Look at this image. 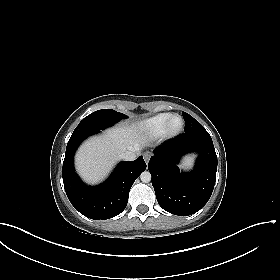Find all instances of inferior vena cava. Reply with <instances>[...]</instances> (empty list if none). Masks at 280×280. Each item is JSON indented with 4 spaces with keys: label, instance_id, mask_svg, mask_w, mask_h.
<instances>
[{
    "label": "inferior vena cava",
    "instance_id": "1",
    "mask_svg": "<svg viewBox=\"0 0 280 280\" xmlns=\"http://www.w3.org/2000/svg\"><path fill=\"white\" fill-rule=\"evenodd\" d=\"M139 153V148H132L130 150H127L125 151L124 153H122L120 155V157L123 159V160H126V161H131V160H134L136 159L137 155Z\"/></svg>",
    "mask_w": 280,
    "mask_h": 280
}]
</instances>
